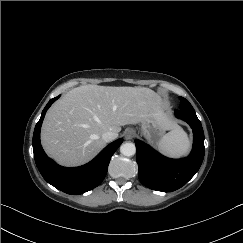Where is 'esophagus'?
Masks as SVG:
<instances>
[{"label":"esophagus","mask_w":243,"mask_h":243,"mask_svg":"<svg viewBox=\"0 0 243 243\" xmlns=\"http://www.w3.org/2000/svg\"><path fill=\"white\" fill-rule=\"evenodd\" d=\"M135 135H136V133H135V131L132 130V129H128V130L125 132V138H126L127 140L132 139Z\"/></svg>","instance_id":"esophagus-1"}]
</instances>
